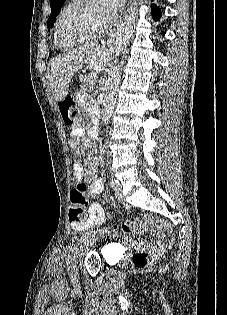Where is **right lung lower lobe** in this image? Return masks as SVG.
Returning a JSON list of instances; mask_svg holds the SVG:
<instances>
[{
	"label": "right lung lower lobe",
	"instance_id": "obj_1",
	"mask_svg": "<svg viewBox=\"0 0 227 315\" xmlns=\"http://www.w3.org/2000/svg\"><path fill=\"white\" fill-rule=\"evenodd\" d=\"M151 11H152L151 14H152L153 19L155 21H159V19L161 17L160 9L156 5L152 4L151 5Z\"/></svg>",
	"mask_w": 227,
	"mask_h": 315
}]
</instances>
